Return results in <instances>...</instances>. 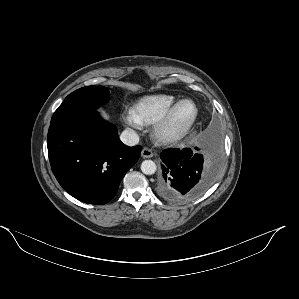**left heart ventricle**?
<instances>
[{"label":"left heart ventricle","instance_id":"b2bd125f","mask_svg":"<svg viewBox=\"0 0 299 299\" xmlns=\"http://www.w3.org/2000/svg\"><path fill=\"white\" fill-rule=\"evenodd\" d=\"M194 113L193 105L186 103L180 106L177 111L175 112L173 119H172V127L174 128H181L185 126Z\"/></svg>","mask_w":299,"mask_h":299}]
</instances>
